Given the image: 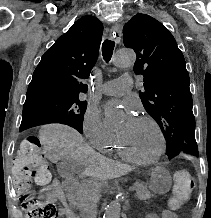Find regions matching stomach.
Instances as JSON below:
<instances>
[{
  "instance_id": "obj_1",
  "label": "stomach",
  "mask_w": 211,
  "mask_h": 218,
  "mask_svg": "<svg viewBox=\"0 0 211 218\" xmlns=\"http://www.w3.org/2000/svg\"><path fill=\"white\" fill-rule=\"evenodd\" d=\"M171 176L169 171L163 167L153 169L149 187L156 193L165 194L171 186Z\"/></svg>"
}]
</instances>
